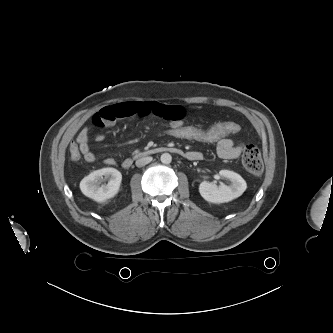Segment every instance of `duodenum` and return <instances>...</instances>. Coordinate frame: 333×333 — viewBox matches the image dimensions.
Listing matches in <instances>:
<instances>
[{
	"label": "duodenum",
	"instance_id": "obj_1",
	"mask_svg": "<svg viewBox=\"0 0 333 333\" xmlns=\"http://www.w3.org/2000/svg\"><path fill=\"white\" fill-rule=\"evenodd\" d=\"M163 152H169V153H173V154H178V155H185L188 159L190 158H196V155L191 154V153H183V151L177 147H171V146H158V147H153L150 149H147L146 151H143L142 153H140V156L142 157H148V156H152V155H157ZM133 164V160L131 158H126L123 163L122 166L125 169H129Z\"/></svg>",
	"mask_w": 333,
	"mask_h": 333
}]
</instances>
